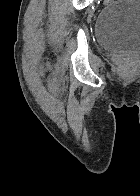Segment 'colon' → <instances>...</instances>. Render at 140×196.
<instances>
[{"label": "colon", "mask_w": 140, "mask_h": 196, "mask_svg": "<svg viewBox=\"0 0 140 196\" xmlns=\"http://www.w3.org/2000/svg\"><path fill=\"white\" fill-rule=\"evenodd\" d=\"M115 0H105L104 1V3L105 4H111V3H113ZM122 68L124 67V66H121Z\"/></svg>", "instance_id": "obj_1"}]
</instances>
